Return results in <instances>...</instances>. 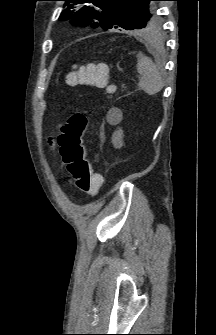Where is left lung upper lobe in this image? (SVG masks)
Instances as JSON below:
<instances>
[{
	"label": "left lung upper lobe",
	"mask_w": 216,
	"mask_h": 335,
	"mask_svg": "<svg viewBox=\"0 0 216 335\" xmlns=\"http://www.w3.org/2000/svg\"><path fill=\"white\" fill-rule=\"evenodd\" d=\"M64 6L76 8L75 13L65 10L60 20H68L79 26H101L104 30L124 28L141 29L156 33L161 21L156 12L157 0H62Z\"/></svg>",
	"instance_id": "5c2ea615"
}]
</instances>
